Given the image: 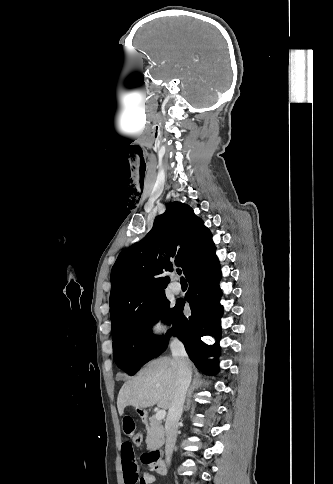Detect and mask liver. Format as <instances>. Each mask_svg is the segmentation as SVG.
<instances>
[{"label": "liver", "instance_id": "1", "mask_svg": "<svg viewBox=\"0 0 333 484\" xmlns=\"http://www.w3.org/2000/svg\"><path fill=\"white\" fill-rule=\"evenodd\" d=\"M177 385L178 364L174 358L152 360L123 384L117 398L118 412L123 415L127 406L144 409L157 405L169 410Z\"/></svg>", "mask_w": 333, "mask_h": 484}]
</instances>
